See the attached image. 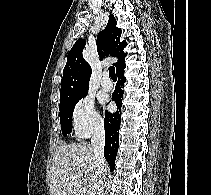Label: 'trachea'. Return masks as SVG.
Instances as JSON below:
<instances>
[{
	"mask_svg": "<svg viewBox=\"0 0 211 195\" xmlns=\"http://www.w3.org/2000/svg\"><path fill=\"white\" fill-rule=\"evenodd\" d=\"M109 76L111 77L112 80H117L115 68L113 66L109 67Z\"/></svg>",
	"mask_w": 211,
	"mask_h": 195,
	"instance_id": "3493384b",
	"label": "trachea"
}]
</instances>
